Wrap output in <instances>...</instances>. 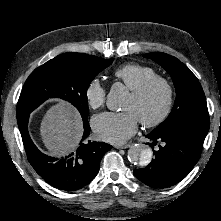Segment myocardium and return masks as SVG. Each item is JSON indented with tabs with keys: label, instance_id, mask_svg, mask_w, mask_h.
Instances as JSON below:
<instances>
[{
	"label": "myocardium",
	"instance_id": "myocardium-1",
	"mask_svg": "<svg viewBox=\"0 0 221 221\" xmlns=\"http://www.w3.org/2000/svg\"><path fill=\"white\" fill-rule=\"evenodd\" d=\"M161 86L165 92V101L161 112L150 120L140 119L141 124L144 127L150 128L155 127L163 123L168 116L170 115L173 103H174V89L171 83L164 77L161 76H154L149 78L148 80L144 81L135 89L131 90V95L141 100L143 99L155 86Z\"/></svg>",
	"mask_w": 221,
	"mask_h": 221
}]
</instances>
